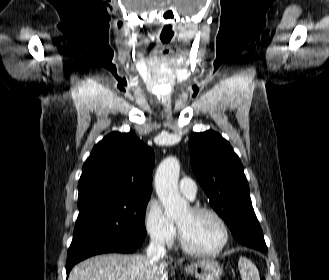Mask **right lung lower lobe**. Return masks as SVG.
<instances>
[{"label": "right lung lower lobe", "mask_w": 329, "mask_h": 280, "mask_svg": "<svg viewBox=\"0 0 329 280\" xmlns=\"http://www.w3.org/2000/svg\"><path fill=\"white\" fill-rule=\"evenodd\" d=\"M138 247L139 246L127 245L124 243L110 240L91 241L80 249H78L77 251L73 252L72 254L67 255L66 273L68 275L70 270L76 263L90 256L108 252L132 253Z\"/></svg>", "instance_id": "obj_1"}]
</instances>
